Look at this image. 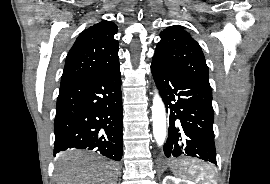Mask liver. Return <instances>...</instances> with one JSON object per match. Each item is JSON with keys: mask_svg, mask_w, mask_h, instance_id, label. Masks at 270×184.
<instances>
[{"mask_svg": "<svg viewBox=\"0 0 270 184\" xmlns=\"http://www.w3.org/2000/svg\"><path fill=\"white\" fill-rule=\"evenodd\" d=\"M59 157L65 163L55 171L56 184H117V168L111 162L84 156L82 152H74L72 159Z\"/></svg>", "mask_w": 270, "mask_h": 184, "instance_id": "obj_1", "label": "liver"}]
</instances>
